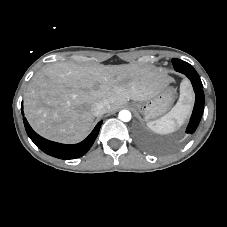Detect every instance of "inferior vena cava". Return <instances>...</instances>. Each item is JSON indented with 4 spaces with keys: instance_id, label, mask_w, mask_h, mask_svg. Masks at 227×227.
<instances>
[{
    "instance_id": "602c4592",
    "label": "inferior vena cava",
    "mask_w": 227,
    "mask_h": 227,
    "mask_svg": "<svg viewBox=\"0 0 227 227\" xmlns=\"http://www.w3.org/2000/svg\"><path fill=\"white\" fill-rule=\"evenodd\" d=\"M109 103L107 100L97 101L93 107V115L99 116L108 111Z\"/></svg>"
}]
</instances>
